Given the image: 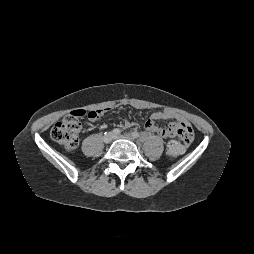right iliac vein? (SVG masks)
Masks as SVG:
<instances>
[{
  "mask_svg": "<svg viewBox=\"0 0 254 254\" xmlns=\"http://www.w3.org/2000/svg\"><path fill=\"white\" fill-rule=\"evenodd\" d=\"M114 139V135L111 133V132H108L104 138H103V141L108 144L110 142H112V140Z\"/></svg>",
  "mask_w": 254,
  "mask_h": 254,
  "instance_id": "right-iliac-vein-1",
  "label": "right iliac vein"
}]
</instances>
